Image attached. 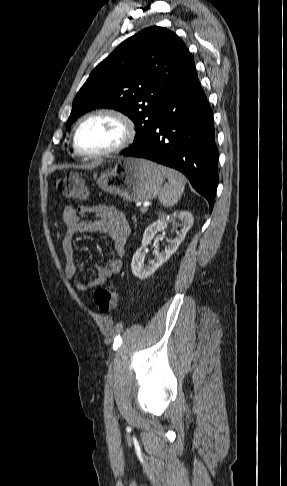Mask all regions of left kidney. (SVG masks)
Listing matches in <instances>:
<instances>
[{"label": "left kidney", "instance_id": "obj_1", "mask_svg": "<svg viewBox=\"0 0 287 486\" xmlns=\"http://www.w3.org/2000/svg\"><path fill=\"white\" fill-rule=\"evenodd\" d=\"M176 220H180L182 224V229L177 232L176 238L170 241V245L166 247L164 251L159 252L154 250V260L148 265L144 266L142 263V258L145 255L147 245L151 242L152 238L157 234V232L164 230L169 223H174ZM193 223L194 218L189 211L175 212L171 215L160 213L158 220L151 223L145 229L142 238V245L133 255L131 262L133 275L141 280L151 276L164 262L170 258L173 253L176 252L179 245L185 239V236L192 227Z\"/></svg>", "mask_w": 287, "mask_h": 486}]
</instances>
